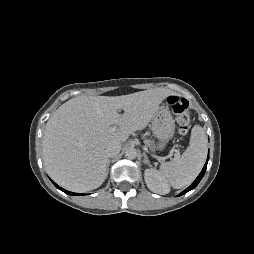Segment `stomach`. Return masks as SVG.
Listing matches in <instances>:
<instances>
[{"label": "stomach", "mask_w": 254, "mask_h": 254, "mask_svg": "<svg viewBox=\"0 0 254 254\" xmlns=\"http://www.w3.org/2000/svg\"><path fill=\"white\" fill-rule=\"evenodd\" d=\"M152 132L159 140L156 148L162 150L166 142L173 137L175 132V121L167 107H159L158 111L153 116Z\"/></svg>", "instance_id": "0dacf381"}]
</instances>
